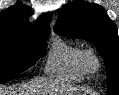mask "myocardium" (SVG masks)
I'll return each instance as SVG.
<instances>
[{
  "label": "myocardium",
  "mask_w": 119,
  "mask_h": 95,
  "mask_svg": "<svg viewBox=\"0 0 119 95\" xmlns=\"http://www.w3.org/2000/svg\"><path fill=\"white\" fill-rule=\"evenodd\" d=\"M81 62L88 73H95L101 66L100 57L93 49H84L81 54Z\"/></svg>",
  "instance_id": "f54148a6"
}]
</instances>
